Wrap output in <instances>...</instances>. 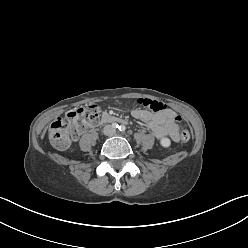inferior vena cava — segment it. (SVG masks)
Here are the masks:
<instances>
[{
	"label": "inferior vena cava",
	"instance_id": "1",
	"mask_svg": "<svg viewBox=\"0 0 248 248\" xmlns=\"http://www.w3.org/2000/svg\"><path fill=\"white\" fill-rule=\"evenodd\" d=\"M105 129H106L105 130L106 131L105 133L107 135H109V136H113L116 133L115 128L113 126H111V125H107Z\"/></svg>",
	"mask_w": 248,
	"mask_h": 248
}]
</instances>
